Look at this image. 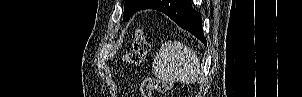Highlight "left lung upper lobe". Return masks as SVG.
Listing matches in <instances>:
<instances>
[{"mask_svg":"<svg viewBox=\"0 0 302 97\" xmlns=\"http://www.w3.org/2000/svg\"><path fill=\"white\" fill-rule=\"evenodd\" d=\"M149 0H125L123 20L127 21L133 14L149 5Z\"/></svg>","mask_w":302,"mask_h":97,"instance_id":"left-lung-upper-lobe-1","label":"left lung upper lobe"}]
</instances>
